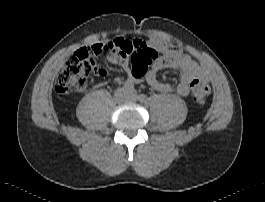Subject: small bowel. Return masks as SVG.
Here are the masks:
<instances>
[{
    "mask_svg": "<svg viewBox=\"0 0 265 202\" xmlns=\"http://www.w3.org/2000/svg\"><path fill=\"white\" fill-rule=\"evenodd\" d=\"M143 45V43H141ZM149 47L159 48L161 55L150 63L149 71L146 75V81L150 87L160 92H171L173 86L165 83L158 78L159 72L172 69L179 72L180 81L176 86V91L181 96H188L190 94V85L192 81L199 78L201 69L199 65L184 54L179 48L168 45L157 39L149 40ZM81 51H79L80 53ZM108 62L120 64L128 73L127 81L137 83L129 69L128 58L121 56L118 53H110L106 55Z\"/></svg>",
    "mask_w": 265,
    "mask_h": 202,
    "instance_id": "c3829d8e",
    "label": "small bowel"
}]
</instances>
